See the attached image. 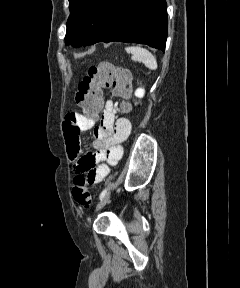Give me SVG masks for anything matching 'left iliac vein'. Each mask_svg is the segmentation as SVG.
Masks as SVG:
<instances>
[{"mask_svg": "<svg viewBox=\"0 0 240 288\" xmlns=\"http://www.w3.org/2000/svg\"><path fill=\"white\" fill-rule=\"evenodd\" d=\"M110 199V193L106 194L101 200L100 202L97 204L96 206V211H99L101 208H103L106 203L109 201Z\"/></svg>", "mask_w": 240, "mask_h": 288, "instance_id": "4c4485c4", "label": "left iliac vein"}]
</instances>
